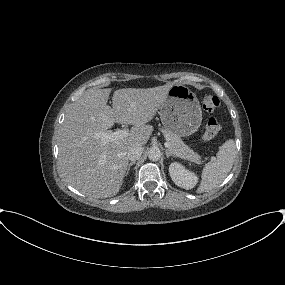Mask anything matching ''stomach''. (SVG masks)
Listing matches in <instances>:
<instances>
[{"instance_id": "obj_1", "label": "stomach", "mask_w": 285, "mask_h": 285, "mask_svg": "<svg viewBox=\"0 0 285 285\" xmlns=\"http://www.w3.org/2000/svg\"><path fill=\"white\" fill-rule=\"evenodd\" d=\"M164 128L180 137L193 134L202 121V110L196 95L184 85H173L160 107Z\"/></svg>"}]
</instances>
